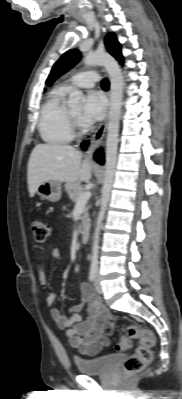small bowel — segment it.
<instances>
[{
    "mask_svg": "<svg viewBox=\"0 0 182 399\" xmlns=\"http://www.w3.org/2000/svg\"><path fill=\"white\" fill-rule=\"evenodd\" d=\"M61 260V251L53 249L38 263V280L42 288L48 287L46 263ZM55 300L56 294L50 293L46 298V303L48 306H52ZM84 306L88 308L86 319L80 314ZM50 315L56 326L65 330L70 345L82 354L94 356L110 345V336L113 333L116 320L102 306L100 298L94 294L87 282L80 284V301L71 306L67 314L64 315L58 309L52 308Z\"/></svg>",
    "mask_w": 182,
    "mask_h": 399,
    "instance_id": "c3829d8e",
    "label": "small bowel"
}]
</instances>
